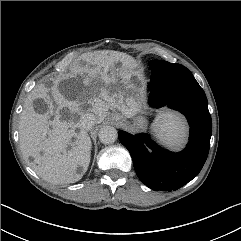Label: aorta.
<instances>
[{"instance_id":"aorta-1","label":"aorta","mask_w":241,"mask_h":241,"mask_svg":"<svg viewBox=\"0 0 241 241\" xmlns=\"http://www.w3.org/2000/svg\"><path fill=\"white\" fill-rule=\"evenodd\" d=\"M117 137V130L112 126H104L99 131V140L103 144H112Z\"/></svg>"}]
</instances>
